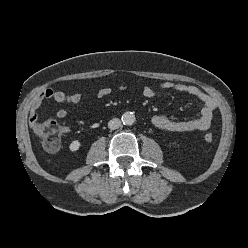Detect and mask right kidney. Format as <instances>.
<instances>
[{"instance_id": "ca27d5eb", "label": "right kidney", "mask_w": 248, "mask_h": 248, "mask_svg": "<svg viewBox=\"0 0 248 248\" xmlns=\"http://www.w3.org/2000/svg\"><path fill=\"white\" fill-rule=\"evenodd\" d=\"M80 148V142L78 140H74L71 142V144L69 145V149L72 152L77 151Z\"/></svg>"}]
</instances>
